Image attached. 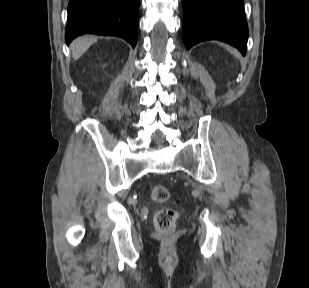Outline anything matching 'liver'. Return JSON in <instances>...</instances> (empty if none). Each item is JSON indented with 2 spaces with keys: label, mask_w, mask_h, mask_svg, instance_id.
<instances>
[{
  "label": "liver",
  "mask_w": 309,
  "mask_h": 288,
  "mask_svg": "<svg viewBox=\"0 0 309 288\" xmlns=\"http://www.w3.org/2000/svg\"><path fill=\"white\" fill-rule=\"evenodd\" d=\"M97 41L96 37L84 36L77 38L71 45L74 60L79 59L88 48Z\"/></svg>",
  "instance_id": "6515ba94"
}]
</instances>
